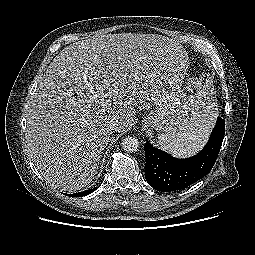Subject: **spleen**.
<instances>
[{
    "mask_svg": "<svg viewBox=\"0 0 255 255\" xmlns=\"http://www.w3.org/2000/svg\"><path fill=\"white\" fill-rule=\"evenodd\" d=\"M214 122V113L205 109L196 111L192 114L191 127L187 131L159 134V146L174 157H190L203 148Z\"/></svg>",
    "mask_w": 255,
    "mask_h": 255,
    "instance_id": "3e777b00",
    "label": "spleen"
}]
</instances>
